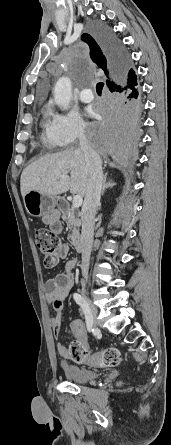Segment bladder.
I'll list each match as a JSON object with an SVG mask.
<instances>
[{"instance_id":"1","label":"bladder","mask_w":171,"mask_h":445,"mask_svg":"<svg viewBox=\"0 0 171 445\" xmlns=\"http://www.w3.org/2000/svg\"><path fill=\"white\" fill-rule=\"evenodd\" d=\"M67 378L74 383H86L97 378L98 373L93 369L70 366L66 370Z\"/></svg>"}]
</instances>
